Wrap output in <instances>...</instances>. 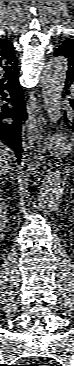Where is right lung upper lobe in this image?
<instances>
[{"label":"right lung upper lobe","mask_w":74,"mask_h":366,"mask_svg":"<svg viewBox=\"0 0 74 366\" xmlns=\"http://www.w3.org/2000/svg\"><path fill=\"white\" fill-rule=\"evenodd\" d=\"M18 73V60L13 45L5 39H0V87L17 82Z\"/></svg>","instance_id":"cb5924a9"}]
</instances>
